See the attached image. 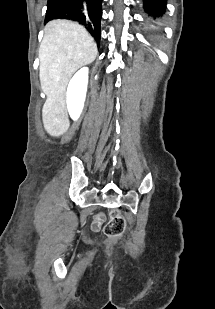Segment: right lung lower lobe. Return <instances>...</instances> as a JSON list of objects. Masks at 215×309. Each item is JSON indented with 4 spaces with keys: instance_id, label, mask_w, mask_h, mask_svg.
<instances>
[{
    "instance_id": "1",
    "label": "right lung lower lobe",
    "mask_w": 215,
    "mask_h": 309,
    "mask_svg": "<svg viewBox=\"0 0 215 309\" xmlns=\"http://www.w3.org/2000/svg\"><path fill=\"white\" fill-rule=\"evenodd\" d=\"M102 0H48L45 23L53 19H67L84 25L100 44Z\"/></svg>"
}]
</instances>
